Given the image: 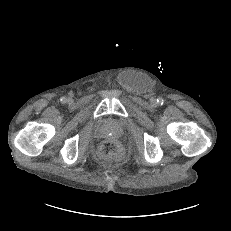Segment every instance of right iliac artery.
<instances>
[{
    "label": "right iliac artery",
    "mask_w": 231,
    "mask_h": 231,
    "mask_svg": "<svg viewBox=\"0 0 231 231\" xmlns=\"http://www.w3.org/2000/svg\"><path fill=\"white\" fill-rule=\"evenodd\" d=\"M60 100H61V102L64 103V102L66 101V98H65V97H62Z\"/></svg>",
    "instance_id": "1"
}]
</instances>
